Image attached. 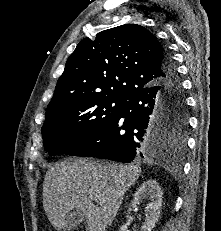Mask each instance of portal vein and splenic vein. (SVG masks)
Wrapping results in <instances>:
<instances>
[{"instance_id":"portal-vein-and-splenic-vein-1","label":"portal vein and splenic vein","mask_w":221,"mask_h":231,"mask_svg":"<svg viewBox=\"0 0 221 231\" xmlns=\"http://www.w3.org/2000/svg\"><path fill=\"white\" fill-rule=\"evenodd\" d=\"M95 201H96V202H99V200H97V199H96Z\"/></svg>"}]
</instances>
